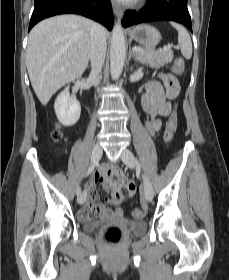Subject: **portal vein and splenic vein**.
<instances>
[{
  "instance_id": "1",
  "label": "portal vein and splenic vein",
  "mask_w": 229,
  "mask_h": 280,
  "mask_svg": "<svg viewBox=\"0 0 229 280\" xmlns=\"http://www.w3.org/2000/svg\"><path fill=\"white\" fill-rule=\"evenodd\" d=\"M133 51H134V52H140V51H141V48L134 47V48H133Z\"/></svg>"
}]
</instances>
